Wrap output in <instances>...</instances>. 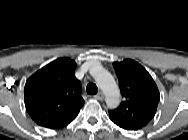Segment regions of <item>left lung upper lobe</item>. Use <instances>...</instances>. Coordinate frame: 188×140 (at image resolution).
Segmentation results:
<instances>
[{"label":"left lung upper lobe","mask_w":188,"mask_h":140,"mask_svg":"<svg viewBox=\"0 0 188 140\" xmlns=\"http://www.w3.org/2000/svg\"><path fill=\"white\" fill-rule=\"evenodd\" d=\"M114 68L124 100L120 107L109 112V117L122 128H142L156 113L158 88L149 73L133 60L114 63Z\"/></svg>","instance_id":"obj_1"}]
</instances>
